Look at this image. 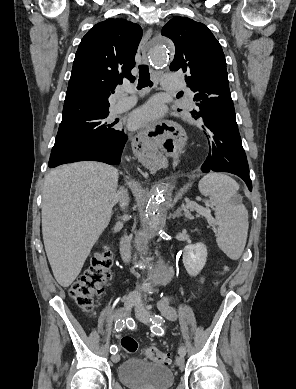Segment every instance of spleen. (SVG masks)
<instances>
[{
    "label": "spleen",
    "instance_id": "3e777b00",
    "mask_svg": "<svg viewBox=\"0 0 296 389\" xmlns=\"http://www.w3.org/2000/svg\"><path fill=\"white\" fill-rule=\"evenodd\" d=\"M198 187L200 193L208 196L216 206L217 245L230 259H239L246 245L249 227L248 211L237 199L239 185L228 175L209 173L200 180Z\"/></svg>",
    "mask_w": 296,
    "mask_h": 389
}]
</instances>
